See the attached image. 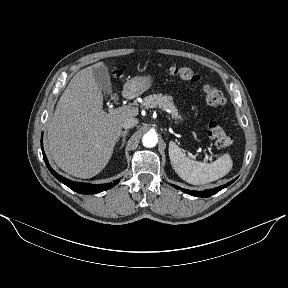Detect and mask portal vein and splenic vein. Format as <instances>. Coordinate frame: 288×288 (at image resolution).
<instances>
[{
  "mask_svg": "<svg viewBox=\"0 0 288 288\" xmlns=\"http://www.w3.org/2000/svg\"><path fill=\"white\" fill-rule=\"evenodd\" d=\"M129 109H131L130 106H122V107H119V108H117V109L110 108L108 111H109L110 114H117V113H119V112H121V111L129 110ZM205 159H206V160L209 159V157H208L207 154H205Z\"/></svg>",
  "mask_w": 288,
  "mask_h": 288,
  "instance_id": "18ae733b",
  "label": "portal vein and splenic vein"
}]
</instances>
